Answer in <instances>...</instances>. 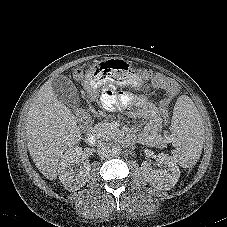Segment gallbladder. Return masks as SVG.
Wrapping results in <instances>:
<instances>
[{
	"instance_id": "bac80fb5",
	"label": "gallbladder",
	"mask_w": 227,
	"mask_h": 227,
	"mask_svg": "<svg viewBox=\"0 0 227 227\" xmlns=\"http://www.w3.org/2000/svg\"><path fill=\"white\" fill-rule=\"evenodd\" d=\"M57 99L70 108H77L80 103L78 91L74 83L66 76H56L51 84Z\"/></svg>"
}]
</instances>
